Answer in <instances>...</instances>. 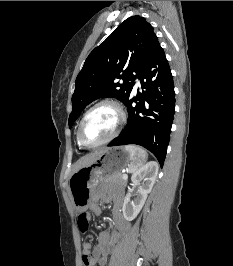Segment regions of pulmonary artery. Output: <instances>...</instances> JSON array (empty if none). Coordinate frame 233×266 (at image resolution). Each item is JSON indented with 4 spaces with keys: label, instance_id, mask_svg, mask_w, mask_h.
Here are the masks:
<instances>
[{
    "label": "pulmonary artery",
    "instance_id": "obj_1",
    "mask_svg": "<svg viewBox=\"0 0 233 266\" xmlns=\"http://www.w3.org/2000/svg\"><path fill=\"white\" fill-rule=\"evenodd\" d=\"M140 87V82L139 80H135V85H134V90H137Z\"/></svg>",
    "mask_w": 233,
    "mask_h": 266
}]
</instances>
